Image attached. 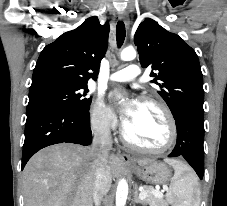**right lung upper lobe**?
I'll list each match as a JSON object with an SVG mask.
<instances>
[{"label":"right lung upper lobe","mask_w":227,"mask_h":206,"mask_svg":"<svg viewBox=\"0 0 227 206\" xmlns=\"http://www.w3.org/2000/svg\"><path fill=\"white\" fill-rule=\"evenodd\" d=\"M108 35L109 23L101 25L96 16L62 34L42 50L33 71L32 83L60 80L87 85L89 78L96 80L107 50Z\"/></svg>","instance_id":"right-lung-upper-lobe-1"}]
</instances>
